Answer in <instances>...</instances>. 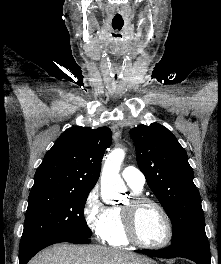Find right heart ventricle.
Returning a JSON list of instances; mask_svg holds the SVG:
<instances>
[{
  "mask_svg": "<svg viewBox=\"0 0 221 264\" xmlns=\"http://www.w3.org/2000/svg\"><path fill=\"white\" fill-rule=\"evenodd\" d=\"M135 195H139L140 191L135 190L131 188ZM112 221L110 225V229L108 231V234L105 238L107 243L111 246L115 247H124L129 245V241L127 240L124 228H123V222H122V215H121V208L120 207H112Z\"/></svg>",
  "mask_w": 221,
  "mask_h": 264,
  "instance_id": "e07e8e85",
  "label": "right heart ventricle"
}]
</instances>
